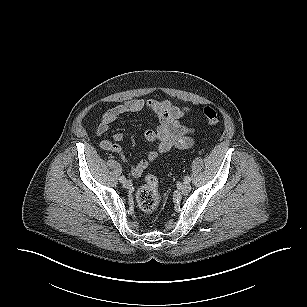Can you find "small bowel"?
<instances>
[{
  "mask_svg": "<svg viewBox=\"0 0 307 307\" xmlns=\"http://www.w3.org/2000/svg\"><path fill=\"white\" fill-rule=\"evenodd\" d=\"M144 109L152 111L158 118V126L147 129L144 133L146 141L157 143V148L146 150V158L130 167V173L133 177H139L159 155L175 148H189L193 144L191 139L192 129L183 126L179 122V119L188 114L189 110L171 100L133 99L117 105L103 114L96 128L97 134L104 135L110 125L121 115ZM123 137V133H115L112 139H103L100 142V146L103 150L119 155L126 162L122 148L119 145Z\"/></svg>",
  "mask_w": 307,
  "mask_h": 307,
  "instance_id": "1",
  "label": "small bowel"
}]
</instances>
